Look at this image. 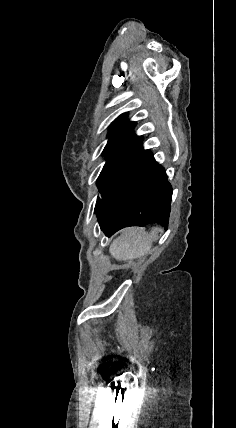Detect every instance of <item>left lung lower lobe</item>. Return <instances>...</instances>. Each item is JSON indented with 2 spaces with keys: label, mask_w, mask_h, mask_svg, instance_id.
<instances>
[{
  "label": "left lung lower lobe",
  "mask_w": 236,
  "mask_h": 428,
  "mask_svg": "<svg viewBox=\"0 0 236 428\" xmlns=\"http://www.w3.org/2000/svg\"><path fill=\"white\" fill-rule=\"evenodd\" d=\"M101 195L95 213L106 236L128 226L155 224L167 229L172 187L150 150L142 148L116 185Z\"/></svg>",
  "instance_id": "obj_1"
}]
</instances>
